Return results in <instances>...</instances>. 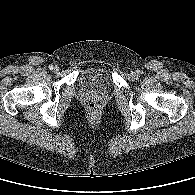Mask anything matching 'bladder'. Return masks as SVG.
<instances>
[{
    "instance_id": "obj_1",
    "label": "bladder",
    "mask_w": 195,
    "mask_h": 195,
    "mask_svg": "<svg viewBox=\"0 0 195 195\" xmlns=\"http://www.w3.org/2000/svg\"><path fill=\"white\" fill-rule=\"evenodd\" d=\"M79 86L85 92L105 93L111 88L110 72L102 65L88 66L80 73Z\"/></svg>"
}]
</instances>
